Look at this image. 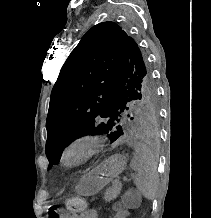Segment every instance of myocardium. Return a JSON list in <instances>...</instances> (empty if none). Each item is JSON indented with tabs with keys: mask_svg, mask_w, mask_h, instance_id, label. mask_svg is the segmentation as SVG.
I'll list each match as a JSON object with an SVG mask.
<instances>
[{
	"mask_svg": "<svg viewBox=\"0 0 211 218\" xmlns=\"http://www.w3.org/2000/svg\"><path fill=\"white\" fill-rule=\"evenodd\" d=\"M102 137L96 132H85L72 139L62 152L66 165L78 164L91 158L101 146Z\"/></svg>",
	"mask_w": 211,
	"mask_h": 218,
	"instance_id": "f54148a6",
	"label": "myocardium"
}]
</instances>
